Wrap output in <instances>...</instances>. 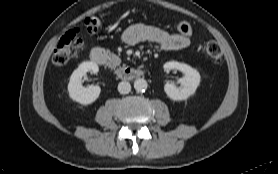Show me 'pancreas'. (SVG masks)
Returning <instances> with one entry per match:
<instances>
[{
  "instance_id": "1",
  "label": "pancreas",
  "mask_w": 278,
  "mask_h": 174,
  "mask_svg": "<svg viewBox=\"0 0 278 174\" xmlns=\"http://www.w3.org/2000/svg\"><path fill=\"white\" fill-rule=\"evenodd\" d=\"M112 64H113V65H117L118 63H117L115 60H113V61H112Z\"/></svg>"
}]
</instances>
